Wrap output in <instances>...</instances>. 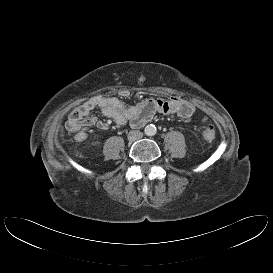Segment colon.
Segmentation results:
<instances>
[{"instance_id": "5ec220e1", "label": "colon", "mask_w": 273, "mask_h": 273, "mask_svg": "<svg viewBox=\"0 0 273 273\" xmlns=\"http://www.w3.org/2000/svg\"><path fill=\"white\" fill-rule=\"evenodd\" d=\"M202 133H203L204 138L207 139V140H209V141L214 140L215 137H216L215 128L211 124L205 125L204 128H203Z\"/></svg>"}]
</instances>
